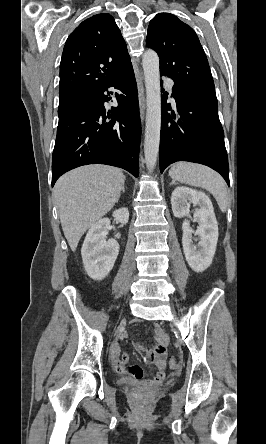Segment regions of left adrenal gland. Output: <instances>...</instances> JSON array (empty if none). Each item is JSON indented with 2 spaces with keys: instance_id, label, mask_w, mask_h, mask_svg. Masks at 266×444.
<instances>
[{
  "instance_id": "left-adrenal-gland-1",
  "label": "left adrenal gland",
  "mask_w": 266,
  "mask_h": 444,
  "mask_svg": "<svg viewBox=\"0 0 266 444\" xmlns=\"http://www.w3.org/2000/svg\"><path fill=\"white\" fill-rule=\"evenodd\" d=\"M175 184L176 182L174 180L170 183V185H175Z\"/></svg>"
}]
</instances>
